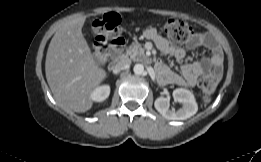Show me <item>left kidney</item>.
<instances>
[{
  "instance_id": "1",
  "label": "left kidney",
  "mask_w": 261,
  "mask_h": 162,
  "mask_svg": "<svg viewBox=\"0 0 261 162\" xmlns=\"http://www.w3.org/2000/svg\"><path fill=\"white\" fill-rule=\"evenodd\" d=\"M173 97L177 102L182 104V107L178 110L169 108L168 98L159 97L155 100L154 106L164 118L168 120H185L197 113L198 105L190 90L177 88L173 92Z\"/></svg>"
}]
</instances>
